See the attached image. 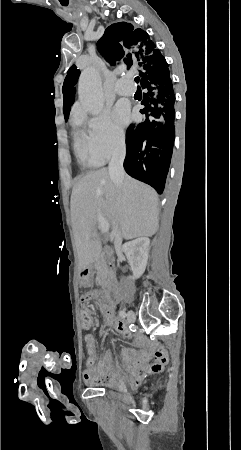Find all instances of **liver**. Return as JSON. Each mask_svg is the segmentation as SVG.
<instances>
[{
	"instance_id": "obj_1",
	"label": "liver",
	"mask_w": 241,
	"mask_h": 450,
	"mask_svg": "<svg viewBox=\"0 0 241 450\" xmlns=\"http://www.w3.org/2000/svg\"><path fill=\"white\" fill-rule=\"evenodd\" d=\"M121 202L117 208V192L108 168L89 172L73 186L71 194V220L77 250L78 270L83 272L98 260L100 248L96 224L107 222L119 226L122 238H151L158 230V194L142 182L124 176L119 192Z\"/></svg>"
}]
</instances>
